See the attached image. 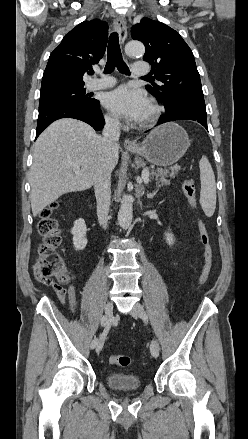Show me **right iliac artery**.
Instances as JSON below:
<instances>
[{"mask_svg": "<svg viewBox=\"0 0 248 439\" xmlns=\"http://www.w3.org/2000/svg\"><path fill=\"white\" fill-rule=\"evenodd\" d=\"M105 324H106V318H105V316H103L102 317V319H101V324H100V327L101 328H104L105 327ZM97 338L96 337H93L92 338V342H91V348H94L96 345H97Z\"/></svg>", "mask_w": 248, "mask_h": 439, "instance_id": "obj_1", "label": "right iliac artery"}]
</instances>
